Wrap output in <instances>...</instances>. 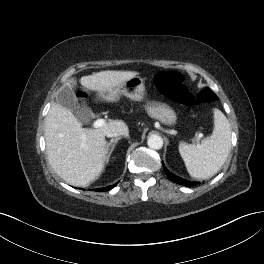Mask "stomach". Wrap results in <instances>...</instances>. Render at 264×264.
<instances>
[{"mask_svg": "<svg viewBox=\"0 0 264 264\" xmlns=\"http://www.w3.org/2000/svg\"><path fill=\"white\" fill-rule=\"evenodd\" d=\"M121 95H125L131 100L141 102L145 99L144 81L139 76H134L125 82L108 89L101 97L107 101H117ZM147 114L156 120H159L164 125H174L177 120L175 111L167 104L148 101L145 105Z\"/></svg>", "mask_w": 264, "mask_h": 264, "instance_id": "0dacf381", "label": "stomach"}]
</instances>
